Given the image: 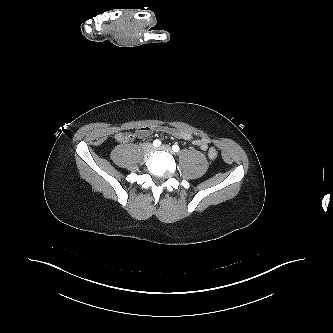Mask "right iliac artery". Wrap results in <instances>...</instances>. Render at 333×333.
I'll return each mask as SVG.
<instances>
[{
	"mask_svg": "<svg viewBox=\"0 0 333 333\" xmlns=\"http://www.w3.org/2000/svg\"><path fill=\"white\" fill-rule=\"evenodd\" d=\"M153 145H154L155 147H159V146L161 145V141L158 140V139H156V140H154Z\"/></svg>",
	"mask_w": 333,
	"mask_h": 333,
	"instance_id": "1",
	"label": "right iliac artery"
}]
</instances>
